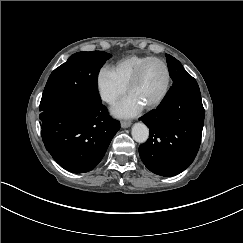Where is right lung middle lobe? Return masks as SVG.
<instances>
[{
	"mask_svg": "<svg viewBox=\"0 0 243 243\" xmlns=\"http://www.w3.org/2000/svg\"><path fill=\"white\" fill-rule=\"evenodd\" d=\"M111 54L102 51L78 52L50 75L40 102V111L68 97L100 101L97 77Z\"/></svg>",
	"mask_w": 243,
	"mask_h": 243,
	"instance_id": "1",
	"label": "right lung middle lobe"
}]
</instances>
